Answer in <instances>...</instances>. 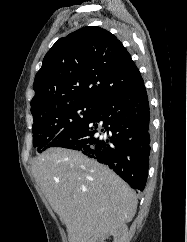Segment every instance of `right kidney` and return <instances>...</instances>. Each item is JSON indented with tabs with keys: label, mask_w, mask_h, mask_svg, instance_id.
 <instances>
[{
	"label": "right kidney",
	"mask_w": 187,
	"mask_h": 242,
	"mask_svg": "<svg viewBox=\"0 0 187 242\" xmlns=\"http://www.w3.org/2000/svg\"><path fill=\"white\" fill-rule=\"evenodd\" d=\"M111 235L114 236L113 242H127L128 228L125 224L120 225L106 234L94 237L89 242H104V240Z\"/></svg>",
	"instance_id": "1"
}]
</instances>
